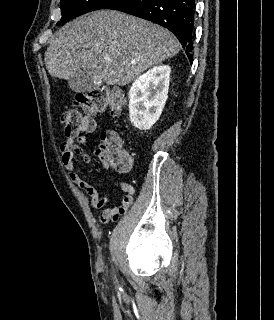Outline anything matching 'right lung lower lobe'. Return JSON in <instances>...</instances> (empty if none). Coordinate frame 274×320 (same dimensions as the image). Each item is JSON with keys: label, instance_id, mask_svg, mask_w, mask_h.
Segmentation results:
<instances>
[{"label": "right lung lower lobe", "instance_id": "obj_1", "mask_svg": "<svg viewBox=\"0 0 274 320\" xmlns=\"http://www.w3.org/2000/svg\"><path fill=\"white\" fill-rule=\"evenodd\" d=\"M103 9L125 12L169 29L180 41L193 61L192 35L195 0H113Z\"/></svg>", "mask_w": 274, "mask_h": 320}]
</instances>
